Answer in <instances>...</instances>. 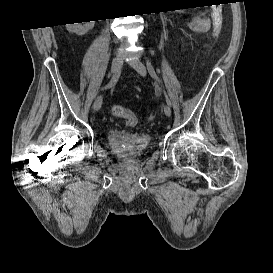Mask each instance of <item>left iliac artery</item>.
I'll return each instance as SVG.
<instances>
[{
    "label": "left iliac artery",
    "mask_w": 273,
    "mask_h": 273,
    "mask_svg": "<svg viewBox=\"0 0 273 273\" xmlns=\"http://www.w3.org/2000/svg\"><path fill=\"white\" fill-rule=\"evenodd\" d=\"M146 66H147L148 72L151 75V77L153 79H156L158 82H161L159 77L157 76V74L155 72V69H154L153 65L149 61V59H146ZM165 98H166L167 104L171 107V101H170V99L168 98V96L166 94H165Z\"/></svg>",
    "instance_id": "1"
}]
</instances>
